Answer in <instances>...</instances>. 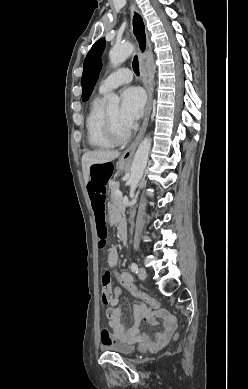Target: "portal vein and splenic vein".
<instances>
[{"label": "portal vein and splenic vein", "instance_id": "obj_1", "mask_svg": "<svg viewBox=\"0 0 248 389\" xmlns=\"http://www.w3.org/2000/svg\"><path fill=\"white\" fill-rule=\"evenodd\" d=\"M116 194L119 195V196H122V192L121 191H116Z\"/></svg>", "mask_w": 248, "mask_h": 389}]
</instances>
